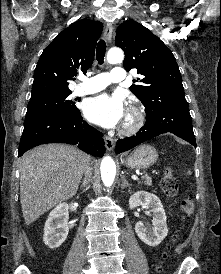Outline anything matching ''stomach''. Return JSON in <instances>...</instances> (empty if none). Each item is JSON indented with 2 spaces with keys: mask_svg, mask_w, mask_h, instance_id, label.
Segmentation results:
<instances>
[{
  "mask_svg": "<svg viewBox=\"0 0 221 274\" xmlns=\"http://www.w3.org/2000/svg\"><path fill=\"white\" fill-rule=\"evenodd\" d=\"M158 159V153L153 146L141 145L136 148L125 160V164L132 169H146Z\"/></svg>",
  "mask_w": 221,
  "mask_h": 274,
  "instance_id": "obj_1",
  "label": "stomach"
}]
</instances>
